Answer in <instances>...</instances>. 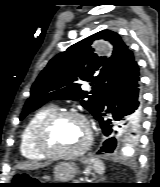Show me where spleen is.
<instances>
[{
  "label": "spleen",
  "instance_id": "3e777b00",
  "mask_svg": "<svg viewBox=\"0 0 160 187\" xmlns=\"http://www.w3.org/2000/svg\"><path fill=\"white\" fill-rule=\"evenodd\" d=\"M90 162L93 163V168L98 174L102 175L104 173V164L101 161L93 159Z\"/></svg>",
  "mask_w": 160,
  "mask_h": 187
}]
</instances>
